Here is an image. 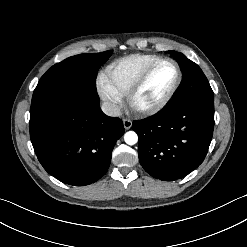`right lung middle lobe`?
<instances>
[{"mask_svg": "<svg viewBox=\"0 0 247 247\" xmlns=\"http://www.w3.org/2000/svg\"><path fill=\"white\" fill-rule=\"evenodd\" d=\"M111 54V51L81 54L52 66L34 90L30 114L65 98L84 97L100 101L96 73Z\"/></svg>", "mask_w": 247, "mask_h": 247, "instance_id": "obj_1", "label": "right lung middle lobe"}]
</instances>
